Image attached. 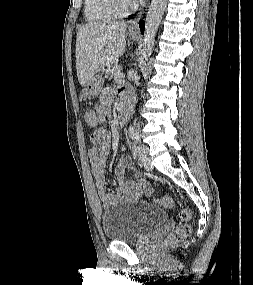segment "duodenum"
I'll list each match as a JSON object with an SVG mask.
<instances>
[{"label":"duodenum","instance_id":"1","mask_svg":"<svg viewBox=\"0 0 253 285\" xmlns=\"http://www.w3.org/2000/svg\"><path fill=\"white\" fill-rule=\"evenodd\" d=\"M132 108V100L130 96H126L123 98L118 113V123L119 125H123L128 119Z\"/></svg>","mask_w":253,"mask_h":285}]
</instances>
